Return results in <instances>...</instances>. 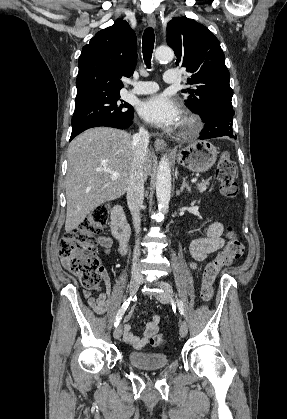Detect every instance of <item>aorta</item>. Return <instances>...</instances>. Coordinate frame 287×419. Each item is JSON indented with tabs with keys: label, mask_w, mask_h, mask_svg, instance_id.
I'll list each match as a JSON object with an SVG mask.
<instances>
[{
	"label": "aorta",
	"mask_w": 287,
	"mask_h": 419,
	"mask_svg": "<svg viewBox=\"0 0 287 419\" xmlns=\"http://www.w3.org/2000/svg\"><path fill=\"white\" fill-rule=\"evenodd\" d=\"M174 58V52L169 47H158L155 51V59L158 61H171ZM171 170L170 163L166 155L160 162L156 178V197L159 210L166 212L169 208L171 198Z\"/></svg>",
	"instance_id": "1"
}]
</instances>
